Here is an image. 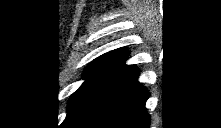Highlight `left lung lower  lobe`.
<instances>
[{
    "label": "left lung lower lobe",
    "instance_id": "left-lung-lower-lobe-1",
    "mask_svg": "<svg viewBox=\"0 0 221 128\" xmlns=\"http://www.w3.org/2000/svg\"><path fill=\"white\" fill-rule=\"evenodd\" d=\"M134 69L95 103L63 124L64 128H149L145 109L149 92Z\"/></svg>",
    "mask_w": 221,
    "mask_h": 128
}]
</instances>
